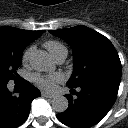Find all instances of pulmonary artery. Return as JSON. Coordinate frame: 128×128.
I'll list each match as a JSON object with an SVG mask.
<instances>
[{"label":"pulmonary artery","mask_w":128,"mask_h":128,"mask_svg":"<svg viewBox=\"0 0 128 128\" xmlns=\"http://www.w3.org/2000/svg\"><path fill=\"white\" fill-rule=\"evenodd\" d=\"M67 54H61L60 56H58L55 60L57 63H62L65 59H66Z\"/></svg>","instance_id":"obj_1"}]
</instances>
